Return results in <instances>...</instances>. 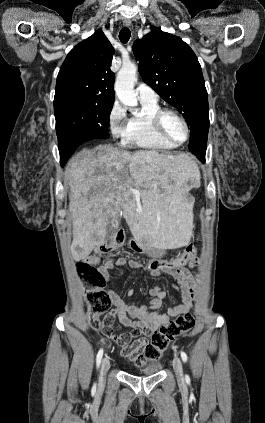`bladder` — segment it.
I'll return each instance as SVG.
<instances>
[{"label": "bladder", "instance_id": "1", "mask_svg": "<svg viewBox=\"0 0 265 423\" xmlns=\"http://www.w3.org/2000/svg\"><path fill=\"white\" fill-rule=\"evenodd\" d=\"M161 369L160 364L151 365L142 369L137 370V373L140 375H153L159 372Z\"/></svg>", "mask_w": 265, "mask_h": 423}]
</instances>
